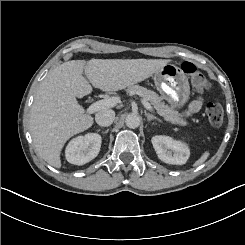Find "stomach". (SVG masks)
<instances>
[{
    "label": "stomach",
    "instance_id": "obj_1",
    "mask_svg": "<svg viewBox=\"0 0 245 245\" xmlns=\"http://www.w3.org/2000/svg\"><path fill=\"white\" fill-rule=\"evenodd\" d=\"M154 82L164 99L172 105L182 106L187 102L190 86L181 68L167 63L154 74Z\"/></svg>",
    "mask_w": 245,
    "mask_h": 245
}]
</instances>
